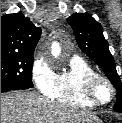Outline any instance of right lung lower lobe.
I'll return each instance as SVG.
<instances>
[{
    "mask_svg": "<svg viewBox=\"0 0 122 123\" xmlns=\"http://www.w3.org/2000/svg\"><path fill=\"white\" fill-rule=\"evenodd\" d=\"M18 89H28V88L14 82H1V93Z\"/></svg>",
    "mask_w": 122,
    "mask_h": 123,
    "instance_id": "98d812e1",
    "label": "right lung lower lobe"
}]
</instances>
